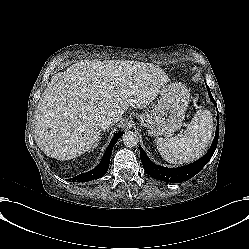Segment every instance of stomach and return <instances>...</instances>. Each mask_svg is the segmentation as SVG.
I'll list each match as a JSON object with an SVG mask.
<instances>
[{"instance_id": "0dacf381", "label": "stomach", "mask_w": 249, "mask_h": 249, "mask_svg": "<svg viewBox=\"0 0 249 249\" xmlns=\"http://www.w3.org/2000/svg\"><path fill=\"white\" fill-rule=\"evenodd\" d=\"M159 101L151 111L138 115L140 124L152 136H166L182 126L189 104V92L184 85L171 84L159 92Z\"/></svg>"}]
</instances>
